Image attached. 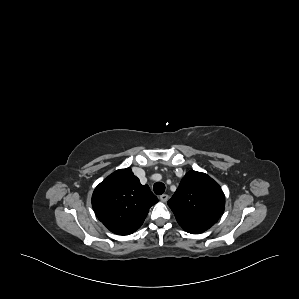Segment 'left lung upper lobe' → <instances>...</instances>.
Masks as SVG:
<instances>
[{
    "mask_svg": "<svg viewBox=\"0 0 299 299\" xmlns=\"http://www.w3.org/2000/svg\"><path fill=\"white\" fill-rule=\"evenodd\" d=\"M221 187L207 174L189 171L168 206L183 230L199 234L213 226L224 212Z\"/></svg>",
    "mask_w": 299,
    "mask_h": 299,
    "instance_id": "1",
    "label": "left lung upper lobe"
}]
</instances>
